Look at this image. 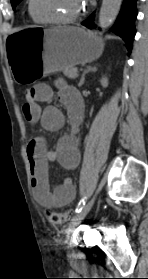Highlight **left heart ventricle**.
I'll return each instance as SVG.
<instances>
[{
	"label": "left heart ventricle",
	"mask_w": 148,
	"mask_h": 279,
	"mask_svg": "<svg viewBox=\"0 0 148 279\" xmlns=\"http://www.w3.org/2000/svg\"><path fill=\"white\" fill-rule=\"evenodd\" d=\"M83 7V0H36L35 9L43 16L68 18L76 15Z\"/></svg>",
	"instance_id": "obj_1"
}]
</instances>
